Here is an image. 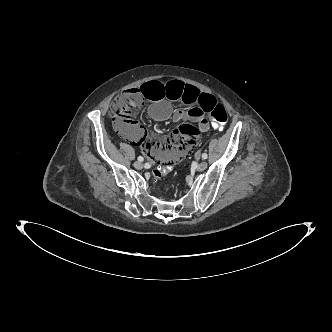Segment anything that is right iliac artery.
<instances>
[{
    "mask_svg": "<svg viewBox=\"0 0 332 332\" xmlns=\"http://www.w3.org/2000/svg\"><path fill=\"white\" fill-rule=\"evenodd\" d=\"M138 161L143 162V161H144V158H143L142 156H139V157H138Z\"/></svg>",
    "mask_w": 332,
    "mask_h": 332,
    "instance_id": "82829eb1",
    "label": "right iliac artery"
}]
</instances>
